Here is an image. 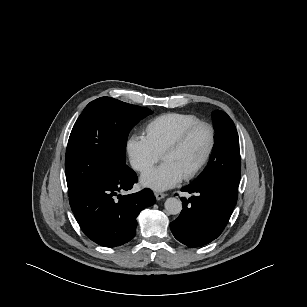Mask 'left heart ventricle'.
Returning <instances> with one entry per match:
<instances>
[{
  "label": "left heart ventricle",
  "mask_w": 307,
  "mask_h": 307,
  "mask_svg": "<svg viewBox=\"0 0 307 307\" xmlns=\"http://www.w3.org/2000/svg\"><path fill=\"white\" fill-rule=\"evenodd\" d=\"M209 144L207 129L198 128L176 151L167 154L163 161L174 165L185 176L203 158Z\"/></svg>",
  "instance_id": "1"
}]
</instances>
